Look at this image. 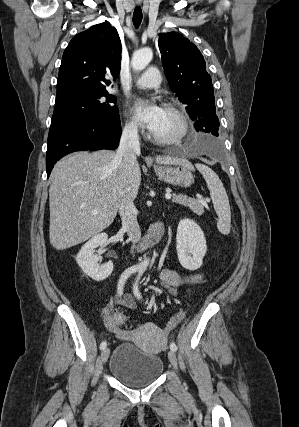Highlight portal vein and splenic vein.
<instances>
[{"label":"portal vein and splenic vein","instance_id":"18ae733b","mask_svg":"<svg viewBox=\"0 0 299 427\" xmlns=\"http://www.w3.org/2000/svg\"><path fill=\"white\" fill-rule=\"evenodd\" d=\"M171 197H172V196H171V194H166V195H165V198H166V199H171ZM94 213H96V212H94Z\"/></svg>","mask_w":299,"mask_h":427}]
</instances>
